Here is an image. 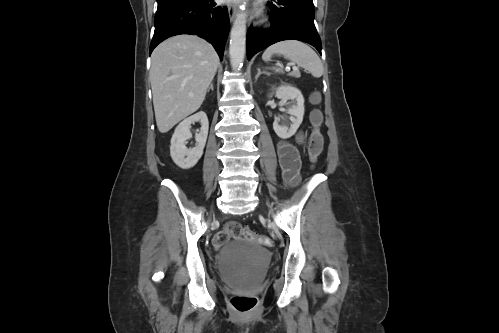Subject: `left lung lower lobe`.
Here are the masks:
<instances>
[{"label": "left lung lower lobe", "mask_w": 499, "mask_h": 333, "mask_svg": "<svg viewBox=\"0 0 499 333\" xmlns=\"http://www.w3.org/2000/svg\"><path fill=\"white\" fill-rule=\"evenodd\" d=\"M268 2L274 16L269 30L247 33V58L283 40H299L314 46L321 54V40L314 25L313 0H273Z\"/></svg>", "instance_id": "1"}]
</instances>
